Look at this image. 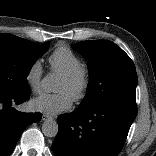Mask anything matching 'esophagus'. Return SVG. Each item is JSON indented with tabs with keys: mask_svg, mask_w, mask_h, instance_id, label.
Returning <instances> with one entry per match:
<instances>
[{
	"mask_svg": "<svg viewBox=\"0 0 156 156\" xmlns=\"http://www.w3.org/2000/svg\"><path fill=\"white\" fill-rule=\"evenodd\" d=\"M50 119H52V117L50 115H48V114L42 115V120L46 121V120H50Z\"/></svg>",
	"mask_w": 156,
	"mask_h": 156,
	"instance_id": "1",
	"label": "esophagus"
}]
</instances>
